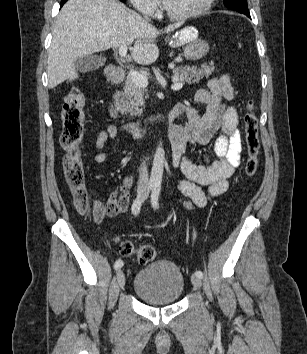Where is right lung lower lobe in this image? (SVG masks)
<instances>
[{
  "label": "right lung lower lobe",
  "instance_id": "1",
  "mask_svg": "<svg viewBox=\"0 0 307 354\" xmlns=\"http://www.w3.org/2000/svg\"><path fill=\"white\" fill-rule=\"evenodd\" d=\"M67 0H61L60 6L62 7Z\"/></svg>",
  "mask_w": 307,
  "mask_h": 354
}]
</instances>
